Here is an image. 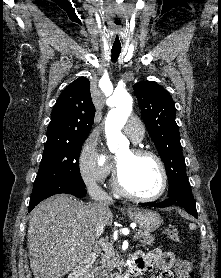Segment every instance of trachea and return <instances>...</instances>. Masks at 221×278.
Masks as SVG:
<instances>
[{"label":"trachea","mask_w":221,"mask_h":278,"mask_svg":"<svg viewBox=\"0 0 221 278\" xmlns=\"http://www.w3.org/2000/svg\"><path fill=\"white\" fill-rule=\"evenodd\" d=\"M121 53V48H114L111 49V61L115 63L118 60V57Z\"/></svg>","instance_id":"trachea-1"}]
</instances>
